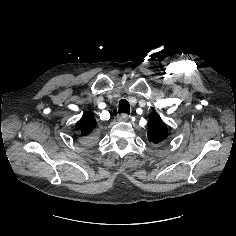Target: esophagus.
Returning a JSON list of instances; mask_svg holds the SVG:
<instances>
[{
  "label": "esophagus",
  "instance_id": "esophagus-1",
  "mask_svg": "<svg viewBox=\"0 0 236 236\" xmlns=\"http://www.w3.org/2000/svg\"><path fill=\"white\" fill-rule=\"evenodd\" d=\"M129 119V116L127 114H121L118 116V120L120 121H127Z\"/></svg>",
  "mask_w": 236,
  "mask_h": 236
}]
</instances>
